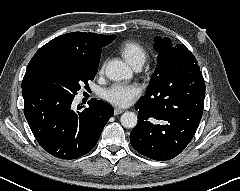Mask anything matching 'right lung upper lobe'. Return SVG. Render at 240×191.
I'll list each match as a JSON object with an SVG mask.
<instances>
[{
    "instance_id": "1",
    "label": "right lung upper lobe",
    "mask_w": 240,
    "mask_h": 191,
    "mask_svg": "<svg viewBox=\"0 0 240 191\" xmlns=\"http://www.w3.org/2000/svg\"><path fill=\"white\" fill-rule=\"evenodd\" d=\"M115 37L87 32H73L56 37L35 53L27 66L23 81L36 66L47 60L99 65L101 48L110 44Z\"/></svg>"
}]
</instances>
